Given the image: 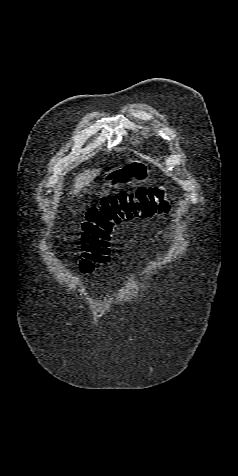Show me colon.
Wrapping results in <instances>:
<instances>
[{"instance_id":"5ec220e1","label":"colon","mask_w":238,"mask_h":476,"mask_svg":"<svg viewBox=\"0 0 238 476\" xmlns=\"http://www.w3.org/2000/svg\"><path fill=\"white\" fill-rule=\"evenodd\" d=\"M170 203L163 188L158 186L139 187L131 192L101 199L85 213L81 225L82 273L90 274L108 262L110 237L114 228L126 220L152 217L169 210Z\"/></svg>"}]
</instances>
